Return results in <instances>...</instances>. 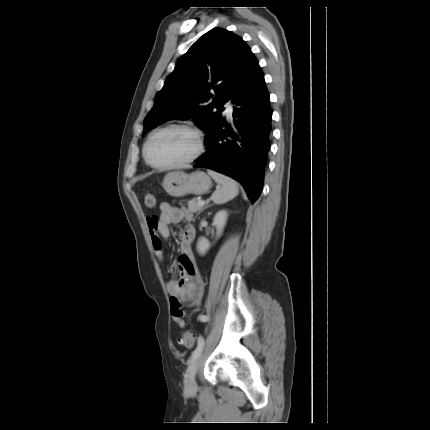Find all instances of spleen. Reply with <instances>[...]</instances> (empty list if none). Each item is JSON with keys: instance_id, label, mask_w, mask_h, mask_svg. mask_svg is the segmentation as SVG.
Here are the masks:
<instances>
[{"instance_id": "3e777b00", "label": "spleen", "mask_w": 430, "mask_h": 430, "mask_svg": "<svg viewBox=\"0 0 430 430\" xmlns=\"http://www.w3.org/2000/svg\"><path fill=\"white\" fill-rule=\"evenodd\" d=\"M207 173L217 182L219 188L212 194L213 202L216 204L226 203L238 195V184L232 178L213 170Z\"/></svg>"}]
</instances>
